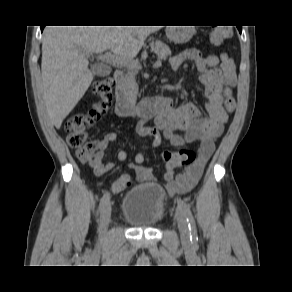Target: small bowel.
<instances>
[{
	"mask_svg": "<svg viewBox=\"0 0 292 292\" xmlns=\"http://www.w3.org/2000/svg\"><path fill=\"white\" fill-rule=\"evenodd\" d=\"M193 61L200 73V83L205 102L203 108L187 102L175 106L168 98L167 108L155 121L154 126L140 125L138 132L148 138L141 150L135 155V162L129 167L134 171L138 182H156L157 178L149 167L142 165L144 152L161 145L182 147L197 142L199 150L197 160L189 166L167 163L164 174V188L170 195L185 194L191 191L202 176L204 168L215 150V142L222 135L228 121L227 113L222 106V90L234 87L237 82L236 65L227 54L203 56L197 48H190L173 56L170 60L172 69H179L185 62ZM117 134L110 132L102 139L94 142L96 153L89 161L96 176H102L114 168L112 162L104 163V151L112 143H116ZM127 152L121 150L117 159L127 160ZM121 176L113 182L114 193L123 190Z\"/></svg>",
	"mask_w": 292,
	"mask_h": 292,
	"instance_id": "1",
	"label": "small bowel"
}]
</instances>
